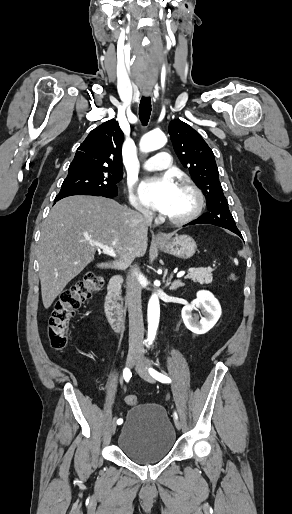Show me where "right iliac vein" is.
<instances>
[{
  "instance_id": "obj_1",
  "label": "right iliac vein",
  "mask_w": 292,
  "mask_h": 514,
  "mask_svg": "<svg viewBox=\"0 0 292 514\" xmlns=\"http://www.w3.org/2000/svg\"><path fill=\"white\" fill-rule=\"evenodd\" d=\"M138 363L137 357L130 355L127 357L126 366L133 368ZM111 433L114 434L116 430V419L114 418L110 425Z\"/></svg>"
}]
</instances>
